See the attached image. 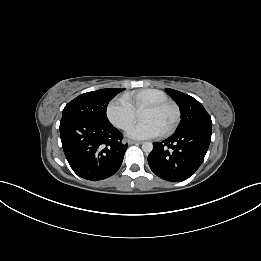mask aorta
<instances>
[{
	"label": "aorta",
	"instance_id": "obj_1",
	"mask_svg": "<svg viewBox=\"0 0 261 261\" xmlns=\"http://www.w3.org/2000/svg\"><path fill=\"white\" fill-rule=\"evenodd\" d=\"M142 150L145 153H150L153 150V144L151 142H144L142 144Z\"/></svg>",
	"mask_w": 261,
	"mask_h": 261
}]
</instances>
